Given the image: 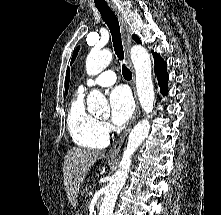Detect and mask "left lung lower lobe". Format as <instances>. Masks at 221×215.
<instances>
[{
	"instance_id": "obj_1",
	"label": "left lung lower lobe",
	"mask_w": 221,
	"mask_h": 215,
	"mask_svg": "<svg viewBox=\"0 0 221 215\" xmlns=\"http://www.w3.org/2000/svg\"><path fill=\"white\" fill-rule=\"evenodd\" d=\"M155 61V73L158 76L159 86L161 88V93L166 95L168 92V74L166 70V62L156 53H153Z\"/></svg>"
}]
</instances>
